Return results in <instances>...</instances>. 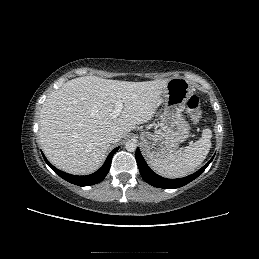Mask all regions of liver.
Returning <instances> with one entry per match:
<instances>
[{"label": "liver", "instance_id": "1", "mask_svg": "<svg viewBox=\"0 0 259 259\" xmlns=\"http://www.w3.org/2000/svg\"><path fill=\"white\" fill-rule=\"evenodd\" d=\"M168 81L128 82L96 76L67 81L41 109L39 142L46 157L71 174L95 172L110 146L107 133L116 130L124 137L137 124L148 122ZM117 101L124 105L114 118L111 113Z\"/></svg>", "mask_w": 259, "mask_h": 259}]
</instances>
